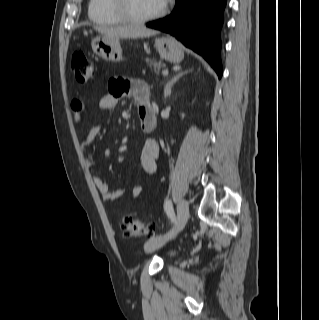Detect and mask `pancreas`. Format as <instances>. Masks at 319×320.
<instances>
[{
  "mask_svg": "<svg viewBox=\"0 0 319 320\" xmlns=\"http://www.w3.org/2000/svg\"><path fill=\"white\" fill-rule=\"evenodd\" d=\"M146 63H147V65H149L150 68L153 67V68H154V71H155L156 73L159 72V69H160L161 67H165V64H164V63H162L161 61H157L156 59L146 58Z\"/></svg>",
  "mask_w": 319,
  "mask_h": 320,
  "instance_id": "pancreas-1",
  "label": "pancreas"
}]
</instances>
